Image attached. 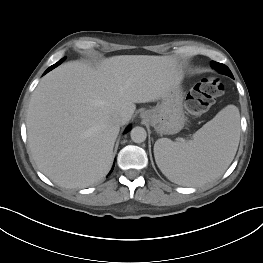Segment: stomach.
<instances>
[{"label":"stomach","instance_id":"1","mask_svg":"<svg viewBox=\"0 0 263 263\" xmlns=\"http://www.w3.org/2000/svg\"><path fill=\"white\" fill-rule=\"evenodd\" d=\"M143 118L160 135L178 133L185 124L181 87L172 89L155 108L145 111Z\"/></svg>","mask_w":263,"mask_h":263}]
</instances>
